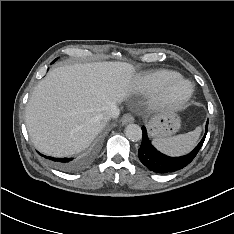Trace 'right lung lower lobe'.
<instances>
[{
  "label": "right lung lower lobe",
  "mask_w": 234,
  "mask_h": 234,
  "mask_svg": "<svg viewBox=\"0 0 234 234\" xmlns=\"http://www.w3.org/2000/svg\"><path fill=\"white\" fill-rule=\"evenodd\" d=\"M43 157L49 159L57 168L64 170V171H76L83 166V161L76 158H54V157H47L42 155Z\"/></svg>",
  "instance_id": "98d812e1"
}]
</instances>
